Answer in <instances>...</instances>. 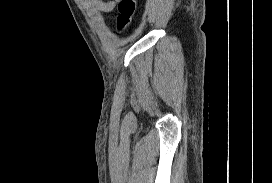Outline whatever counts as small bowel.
I'll use <instances>...</instances> for the list:
<instances>
[{"label": "small bowel", "mask_w": 272, "mask_h": 183, "mask_svg": "<svg viewBox=\"0 0 272 183\" xmlns=\"http://www.w3.org/2000/svg\"><path fill=\"white\" fill-rule=\"evenodd\" d=\"M117 0H109V1H102V0H95L94 7L103 13L111 12L116 4Z\"/></svg>", "instance_id": "small-bowel-1"}]
</instances>
